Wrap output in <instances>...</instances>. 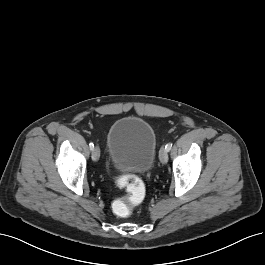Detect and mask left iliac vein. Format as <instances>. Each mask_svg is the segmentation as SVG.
Instances as JSON below:
<instances>
[{
    "instance_id": "left-iliac-vein-1",
    "label": "left iliac vein",
    "mask_w": 265,
    "mask_h": 265,
    "mask_svg": "<svg viewBox=\"0 0 265 265\" xmlns=\"http://www.w3.org/2000/svg\"><path fill=\"white\" fill-rule=\"evenodd\" d=\"M159 159L162 164H166L168 162V152L165 148L160 149Z\"/></svg>"
}]
</instances>
